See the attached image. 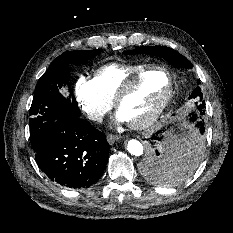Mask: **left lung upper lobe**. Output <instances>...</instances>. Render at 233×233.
Instances as JSON below:
<instances>
[{
  "instance_id": "5c2ea615",
  "label": "left lung upper lobe",
  "mask_w": 233,
  "mask_h": 233,
  "mask_svg": "<svg viewBox=\"0 0 233 233\" xmlns=\"http://www.w3.org/2000/svg\"><path fill=\"white\" fill-rule=\"evenodd\" d=\"M126 55H136V54H150L158 57H163L166 61L173 64L175 67H184V68H192V64L188 61L184 56H182L179 52L163 46H142L134 50L124 51ZM200 83V81H198ZM203 95L201 93L200 87H197L191 95L189 99L194 100L195 102V112L191 119L196 121L205 114V102L202 100Z\"/></svg>"
}]
</instances>
